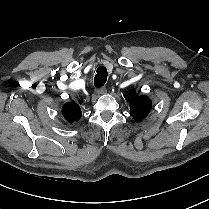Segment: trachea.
<instances>
[{
    "label": "trachea",
    "instance_id": "obj_1",
    "mask_svg": "<svg viewBox=\"0 0 209 209\" xmlns=\"http://www.w3.org/2000/svg\"><path fill=\"white\" fill-rule=\"evenodd\" d=\"M107 69L104 66L97 68V74L94 78V85L97 88L102 87L107 81Z\"/></svg>",
    "mask_w": 209,
    "mask_h": 209
}]
</instances>
